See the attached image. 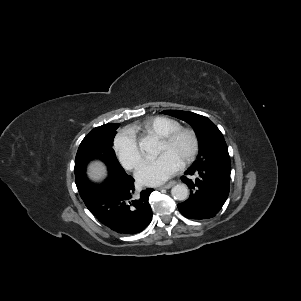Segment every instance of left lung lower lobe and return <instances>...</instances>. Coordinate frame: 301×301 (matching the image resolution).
<instances>
[{"label":"left lung lower lobe","mask_w":301,"mask_h":301,"mask_svg":"<svg viewBox=\"0 0 301 301\" xmlns=\"http://www.w3.org/2000/svg\"><path fill=\"white\" fill-rule=\"evenodd\" d=\"M231 169L191 166L182 176L190 188L189 198L178 204L179 211L190 219L214 217L227 200ZM195 176V178H191Z\"/></svg>","instance_id":"0a47b994"}]
</instances>
